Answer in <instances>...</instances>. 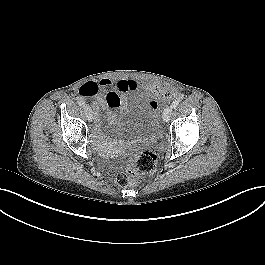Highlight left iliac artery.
Returning <instances> with one entry per match:
<instances>
[{"label": "left iliac artery", "mask_w": 265, "mask_h": 265, "mask_svg": "<svg viewBox=\"0 0 265 265\" xmlns=\"http://www.w3.org/2000/svg\"><path fill=\"white\" fill-rule=\"evenodd\" d=\"M179 100L177 99V100H174L173 102H172V104H171V107L172 108H176L178 105H179Z\"/></svg>", "instance_id": "1"}]
</instances>
